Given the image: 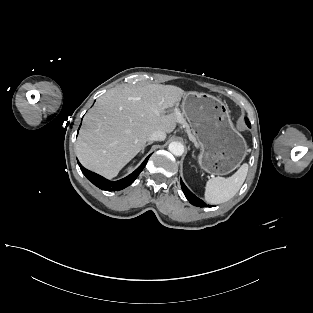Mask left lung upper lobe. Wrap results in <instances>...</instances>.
I'll list each match as a JSON object with an SVG mask.
<instances>
[{"label": "left lung upper lobe", "instance_id": "left-lung-upper-lobe-1", "mask_svg": "<svg viewBox=\"0 0 313 313\" xmlns=\"http://www.w3.org/2000/svg\"><path fill=\"white\" fill-rule=\"evenodd\" d=\"M245 121H248V122H249V120H248L247 118L245 119ZM249 125H250V123H249ZM249 127H250V126H249Z\"/></svg>", "mask_w": 313, "mask_h": 313}]
</instances>
